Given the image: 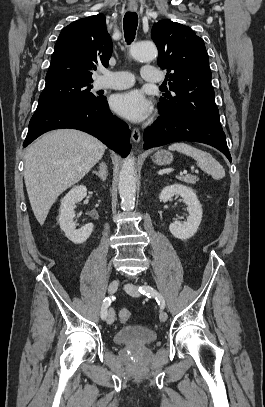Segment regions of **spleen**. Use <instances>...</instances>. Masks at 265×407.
<instances>
[{
	"mask_svg": "<svg viewBox=\"0 0 265 407\" xmlns=\"http://www.w3.org/2000/svg\"><path fill=\"white\" fill-rule=\"evenodd\" d=\"M169 150L183 153L192 157L197 165L215 180H220L225 176V170L221 164L208 152L197 149L186 143H174L168 147Z\"/></svg>",
	"mask_w": 265,
	"mask_h": 407,
	"instance_id": "3e777b00",
	"label": "spleen"
}]
</instances>
